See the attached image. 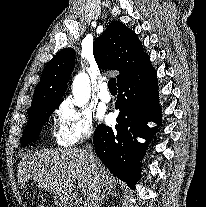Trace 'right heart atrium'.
I'll use <instances>...</instances> for the list:
<instances>
[{
    "label": "right heart atrium",
    "mask_w": 206,
    "mask_h": 207,
    "mask_svg": "<svg viewBox=\"0 0 206 207\" xmlns=\"http://www.w3.org/2000/svg\"><path fill=\"white\" fill-rule=\"evenodd\" d=\"M56 142L71 147L94 136V116L90 110L76 106L71 100L62 102L57 110Z\"/></svg>",
    "instance_id": "1"
}]
</instances>
